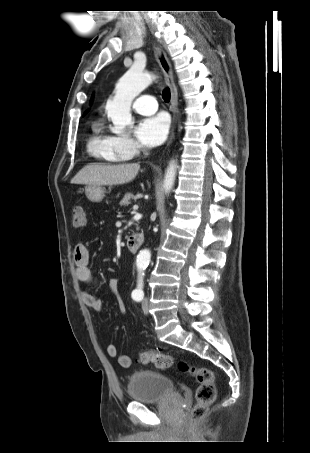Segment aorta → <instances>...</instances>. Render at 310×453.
Returning a JSON list of instances; mask_svg holds the SVG:
<instances>
[{"instance_id":"1","label":"aorta","mask_w":310,"mask_h":453,"mask_svg":"<svg viewBox=\"0 0 310 453\" xmlns=\"http://www.w3.org/2000/svg\"><path fill=\"white\" fill-rule=\"evenodd\" d=\"M153 77L150 73L144 72L141 68L132 66L118 81L115 88V95L106 104L108 118L111 119L114 127L112 131L120 134L125 127L131 124V105L146 87L152 83ZM177 163L172 160L166 169L163 189L169 193L174 185ZM151 258L149 250H142L137 256V267L144 269Z\"/></svg>"}]
</instances>
